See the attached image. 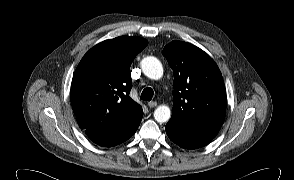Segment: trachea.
Instances as JSON below:
<instances>
[{
  "mask_svg": "<svg viewBox=\"0 0 294 180\" xmlns=\"http://www.w3.org/2000/svg\"><path fill=\"white\" fill-rule=\"evenodd\" d=\"M153 95H154L153 89L150 87H147L142 91L140 98L144 101H151L153 98Z\"/></svg>",
  "mask_w": 294,
  "mask_h": 180,
  "instance_id": "1",
  "label": "trachea"
}]
</instances>
